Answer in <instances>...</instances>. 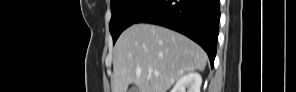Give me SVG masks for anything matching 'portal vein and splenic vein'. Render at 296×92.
<instances>
[{"mask_svg":"<svg viewBox=\"0 0 296 92\" xmlns=\"http://www.w3.org/2000/svg\"><path fill=\"white\" fill-rule=\"evenodd\" d=\"M148 72L149 73H154L155 75H159V73L157 71H154L153 69H149Z\"/></svg>","mask_w":296,"mask_h":92,"instance_id":"1","label":"portal vein and splenic vein"}]
</instances>
